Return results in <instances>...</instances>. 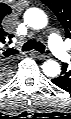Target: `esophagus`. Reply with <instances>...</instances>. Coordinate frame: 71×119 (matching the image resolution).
<instances>
[{
	"label": "esophagus",
	"mask_w": 71,
	"mask_h": 119,
	"mask_svg": "<svg viewBox=\"0 0 71 119\" xmlns=\"http://www.w3.org/2000/svg\"><path fill=\"white\" fill-rule=\"evenodd\" d=\"M33 54L37 57V58H39V59H44L46 56L45 55H42V54H40V53H38V52H33Z\"/></svg>",
	"instance_id": "1"
}]
</instances>
